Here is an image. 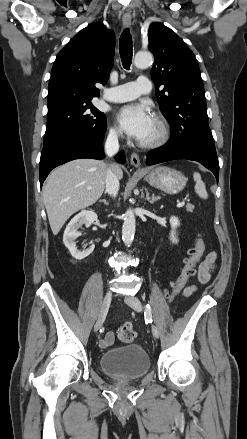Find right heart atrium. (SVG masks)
Here are the masks:
<instances>
[{
    "instance_id": "obj_1",
    "label": "right heart atrium",
    "mask_w": 247,
    "mask_h": 439,
    "mask_svg": "<svg viewBox=\"0 0 247 439\" xmlns=\"http://www.w3.org/2000/svg\"><path fill=\"white\" fill-rule=\"evenodd\" d=\"M121 135V131H120V129L118 128V127H116V126H113L111 129H110V136L111 137H119Z\"/></svg>"
}]
</instances>
